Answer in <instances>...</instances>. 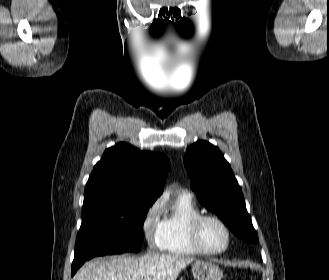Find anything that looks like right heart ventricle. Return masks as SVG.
<instances>
[{
	"label": "right heart ventricle",
	"mask_w": 329,
	"mask_h": 280,
	"mask_svg": "<svg viewBox=\"0 0 329 280\" xmlns=\"http://www.w3.org/2000/svg\"><path fill=\"white\" fill-rule=\"evenodd\" d=\"M200 214L201 210L190 193L177 194L170 203L164 219V234L160 249L176 256L198 255L190 240L189 226Z\"/></svg>",
	"instance_id": "e07e8e85"
}]
</instances>
